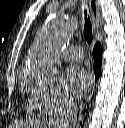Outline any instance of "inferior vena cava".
I'll use <instances>...</instances> for the list:
<instances>
[{
  "label": "inferior vena cava",
  "mask_w": 125,
  "mask_h": 128,
  "mask_svg": "<svg viewBox=\"0 0 125 128\" xmlns=\"http://www.w3.org/2000/svg\"><path fill=\"white\" fill-rule=\"evenodd\" d=\"M64 112L59 120L60 127H68L77 118L78 107L71 101L63 105Z\"/></svg>",
  "instance_id": "inferior-vena-cava-1"
}]
</instances>
